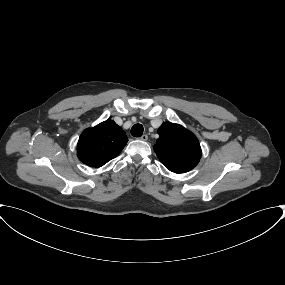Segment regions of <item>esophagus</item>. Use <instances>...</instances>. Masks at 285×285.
Instances as JSON below:
<instances>
[{
	"label": "esophagus",
	"mask_w": 285,
	"mask_h": 285,
	"mask_svg": "<svg viewBox=\"0 0 285 285\" xmlns=\"http://www.w3.org/2000/svg\"><path fill=\"white\" fill-rule=\"evenodd\" d=\"M140 139H141L142 141H147L148 136H147L146 134H144V135H142V136L140 137Z\"/></svg>",
	"instance_id": "obj_1"
}]
</instances>
